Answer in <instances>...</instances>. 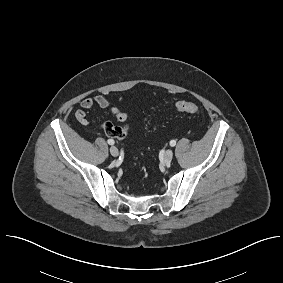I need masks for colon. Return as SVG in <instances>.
Listing matches in <instances>:
<instances>
[{"instance_id": "1", "label": "colon", "mask_w": 283, "mask_h": 283, "mask_svg": "<svg viewBox=\"0 0 283 283\" xmlns=\"http://www.w3.org/2000/svg\"><path fill=\"white\" fill-rule=\"evenodd\" d=\"M174 109L177 112L188 113V114H197L200 111L199 107L195 103L188 101L177 102L174 106ZM101 129L108 136L116 138L119 135V128L109 122L103 124L101 126Z\"/></svg>"}]
</instances>
